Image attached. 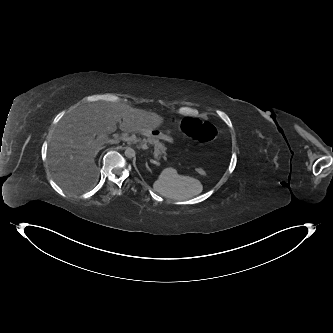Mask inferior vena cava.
<instances>
[{
    "instance_id": "obj_1",
    "label": "inferior vena cava",
    "mask_w": 333,
    "mask_h": 333,
    "mask_svg": "<svg viewBox=\"0 0 333 333\" xmlns=\"http://www.w3.org/2000/svg\"><path fill=\"white\" fill-rule=\"evenodd\" d=\"M110 143H118V141H115V140H111Z\"/></svg>"
}]
</instances>
